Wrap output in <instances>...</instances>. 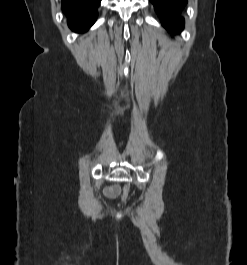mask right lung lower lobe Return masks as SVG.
<instances>
[{"label": "right lung lower lobe", "mask_w": 247, "mask_h": 265, "mask_svg": "<svg viewBox=\"0 0 247 265\" xmlns=\"http://www.w3.org/2000/svg\"><path fill=\"white\" fill-rule=\"evenodd\" d=\"M101 0H62V10L68 18L69 27L75 32L89 29L97 18Z\"/></svg>", "instance_id": "98d812e1"}]
</instances>
